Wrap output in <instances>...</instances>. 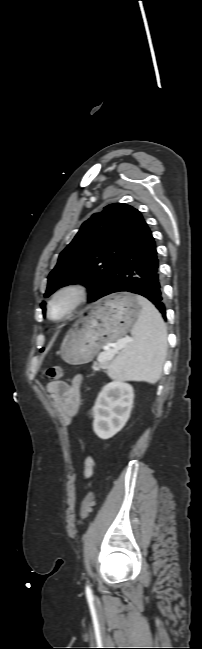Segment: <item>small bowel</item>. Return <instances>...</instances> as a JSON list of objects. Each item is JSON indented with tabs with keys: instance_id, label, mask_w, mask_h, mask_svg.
I'll list each match as a JSON object with an SVG mask.
<instances>
[{
	"instance_id": "c3829d8e",
	"label": "small bowel",
	"mask_w": 202,
	"mask_h": 649,
	"mask_svg": "<svg viewBox=\"0 0 202 649\" xmlns=\"http://www.w3.org/2000/svg\"><path fill=\"white\" fill-rule=\"evenodd\" d=\"M81 384L82 376L77 375L71 380L70 384L64 381H53L47 385V390L52 399V406L66 426L71 424L74 415L80 407ZM93 470L94 460L88 457L85 461V478H90Z\"/></svg>"
}]
</instances>
